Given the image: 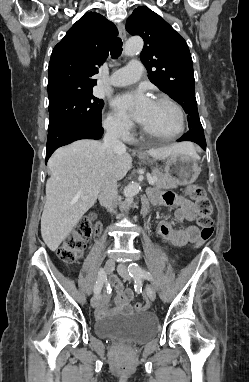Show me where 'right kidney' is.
<instances>
[{"instance_id": "obj_1", "label": "right kidney", "mask_w": 249, "mask_h": 382, "mask_svg": "<svg viewBox=\"0 0 249 382\" xmlns=\"http://www.w3.org/2000/svg\"><path fill=\"white\" fill-rule=\"evenodd\" d=\"M90 217H91V219H93V221H94V219H96L97 216H96V214L93 213V214H91Z\"/></svg>"}]
</instances>
